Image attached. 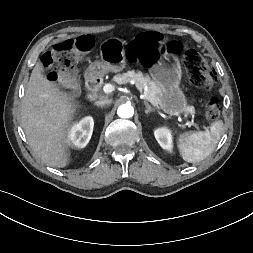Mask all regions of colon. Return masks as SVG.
<instances>
[{"mask_svg":"<svg viewBox=\"0 0 253 253\" xmlns=\"http://www.w3.org/2000/svg\"><path fill=\"white\" fill-rule=\"evenodd\" d=\"M164 46V39L160 35L150 38L136 37L128 45V56L133 61H138L144 66L151 65L156 58V50ZM91 48V40L81 37L67 40L54 45L43 56V64L49 70V79L62 81L67 85L69 92L76 90V83L71 75V70L83 53ZM170 52L178 53L182 50L179 42L171 41L167 45ZM183 66L187 80L197 88L210 89L215 81V72L207 61L194 49L183 53ZM204 114L207 120L215 121L220 116V105L215 97L209 98L204 105Z\"/></svg>","mask_w":253,"mask_h":253,"instance_id":"1","label":"colon"}]
</instances>
